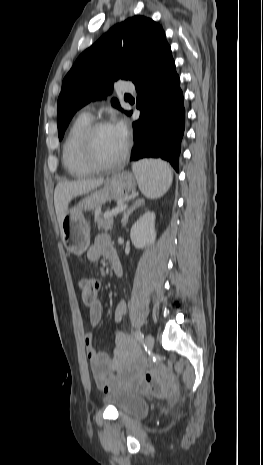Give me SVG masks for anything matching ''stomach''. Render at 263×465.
<instances>
[{"instance_id":"obj_1","label":"stomach","mask_w":263,"mask_h":465,"mask_svg":"<svg viewBox=\"0 0 263 465\" xmlns=\"http://www.w3.org/2000/svg\"><path fill=\"white\" fill-rule=\"evenodd\" d=\"M135 188V177L127 171L113 174L98 190L87 194L76 206L67 210L60 232L68 252L81 255L90 244V225L83 211L96 209L107 201L120 199Z\"/></svg>"}]
</instances>
